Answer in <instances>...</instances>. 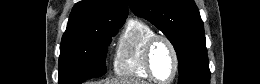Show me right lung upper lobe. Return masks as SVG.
Segmentation results:
<instances>
[{
	"label": "right lung upper lobe",
	"mask_w": 260,
	"mask_h": 84,
	"mask_svg": "<svg viewBox=\"0 0 260 84\" xmlns=\"http://www.w3.org/2000/svg\"><path fill=\"white\" fill-rule=\"evenodd\" d=\"M127 16L126 0H82L72 9L62 41L86 39L97 26L124 23Z\"/></svg>",
	"instance_id": "cb5924a9"
}]
</instances>
